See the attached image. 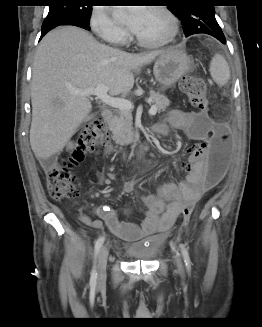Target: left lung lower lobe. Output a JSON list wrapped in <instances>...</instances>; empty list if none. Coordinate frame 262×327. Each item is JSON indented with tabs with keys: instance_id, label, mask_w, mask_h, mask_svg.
Here are the masks:
<instances>
[{
	"instance_id": "obj_1",
	"label": "left lung lower lobe",
	"mask_w": 262,
	"mask_h": 327,
	"mask_svg": "<svg viewBox=\"0 0 262 327\" xmlns=\"http://www.w3.org/2000/svg\"><path fill=\"white\" fill-rule=\"evenodd\" d=\"M199 33V32H198ZM201 33V32H200ZM203 33V32H202ZM221 33H223V32H220V34H217V33H215V32H212L211 34H209V35H211V36H213V37H215V38H217L221 43H223V44H225L226 43V39H225V36H224V34L222 35ZM197 34V33H196ZM192 35V34H191ZM188 36H190V35H188ZM187 36V37H188Z\"/></svg>"
}]
</instances>
